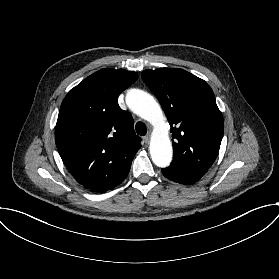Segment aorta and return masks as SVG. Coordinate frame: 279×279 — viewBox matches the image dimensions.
<instances>
[{
    "label": "aorta",
    "mask_w": 279,
    "mask_h": 279,
    "mask_svg": "<svg viewBox=\"0 0 279 279\" xmlns=\"http://www.w3.org/2000/svg\"><path fill=\"white\" fill-rule=\"evenodd\" d=\"M128 107L154 126L150 142V155L158 167H167L172 161L173 149L169 138V124L165 121L160 105L150 94L133 89L126 96Z\"/></svg>",
    "instance_id": "1"
}]
</instances>
